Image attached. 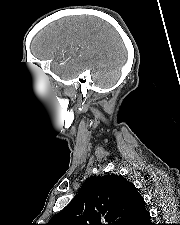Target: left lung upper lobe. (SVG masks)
Segmentation results:
<instances>
[{"label":"left lung upper lobe","instance_id":"1","mask_svg":"<svg viewBox=\"0 0 180 225\" xmlns=\"http://www.w3.org/2000/svg\"><path fill=\"white\" fill-rule=\"evenodd\" d=\"M145 207L135 186L118 175L92 176L74 199L46 225H124ZM121 216L116 222L114 216Z\"/></svg>","mask_w":180,"mask_h":225}]
</instances>
